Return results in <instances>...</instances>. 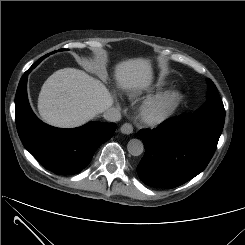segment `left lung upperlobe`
<instances>
[{
  "label": "left lung upper lobe",
  "instance_id": "5c2ea615",
  "mask_svg": "<svg viewBox=\"0 0 245 245\" xmlns=\"http://www.w3.org/2000/svg\"><path fill=\"white\" fill-rule=\"evenodd\" d=\"M194 115L211 117L217 120H225V109L220 99L215 84L208 79L207 101L197 109Z\"/></svg>",
  "mask_w": 245,
  "mask_h": 245
}]
</instances>
